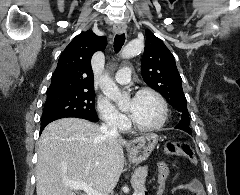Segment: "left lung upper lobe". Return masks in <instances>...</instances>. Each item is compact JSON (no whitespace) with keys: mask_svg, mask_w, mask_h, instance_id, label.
<instances>
[{"mask_svg":"<svg viewBox=\"0 0 240 195\" xmlns=\"http://www.w3.org/2000/svg\"><path fill=\"white\" fill-rule=\"evenodd\" d=\"M147 43L142 56L143 80L158 91L180 114L181 120L175 127L191 134L190 118L182 79L172 53L150 30H146Z\"/></svg>","mask_w":240,"mask_h":195,"instance_id":"obj_1","label":"left lung upper lobe"}]
</instances>
